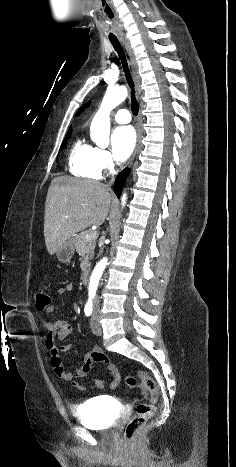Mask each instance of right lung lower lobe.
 I'll return each instance as SVG.
<instances>
[{"instance_id":"1","label":"right lung lower lobe","mask_w":236,"mask_h":467,"mask_svg":"<svg viewBox=\"0 0 236 467\" xmlns=\"http://www.w3.org/2000/svg\"><path fill=\"white\" fill-rule=\"evenodd\" d=\"M128 174H129V169H126V170L122 171L121 174L118 175V177H117V179L115 181L114 192H115V194L117 195L118 198L120 197L122 187L124 185V182H125L126 177L128 176Z\"/></svg>"}]
</instances>
